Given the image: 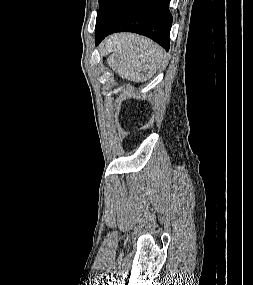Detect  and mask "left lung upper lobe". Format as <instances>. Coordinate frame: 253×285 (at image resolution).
<instances>
[{
    "label": "left lung upper lobe",
    "instance_id": "left-lung-upper-lobe-1",
    "mask_svg": "<svg viewBox=\"0 0 253 285\" xmlns=\"http://www.w3.org/2000/svg\"><path fill=\"white\" fill-rule=\"evenodd\" d=\"M106 1H107V0H99L100 8H99L98 14L100 13V11H101V9L103 8V6H104V4H105ZM98 14H97V16H98Z\"/></svg>",
    "mask_w": 253,
    "mask_h": 285
}]
</instances>
